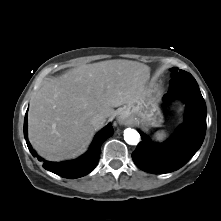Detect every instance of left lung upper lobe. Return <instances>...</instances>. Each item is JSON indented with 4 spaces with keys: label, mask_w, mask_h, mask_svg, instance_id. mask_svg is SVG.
<instances>
[{
    "label": "left lung upper lobe",
    "mask_w": 221,
    "mask_h": 221,
    "mask_svg": "<svg viewBox=\"0 0 221 221\" xmlns=\"http://www.w3.org/2000/svg\"><path fill=\"white\" fill-rule=\"evenodd\" d=\"M171 73H172V80H170V85L173 84L176 80L178 79H182V78H187V77H191L192 75L184 70H177L175 68H171L170 69Z\"/></svg>",
    "instance_id": "obj_1"
}]
</instances>
